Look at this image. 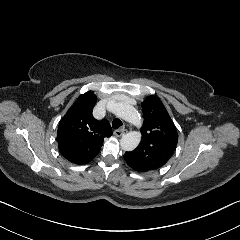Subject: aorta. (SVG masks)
Returning a JSON list of instances; mask_svg holds the SVG:
<instances>
[{"mask_svg":"<svg viewBox=\"0 0 240 240\" xmlns=\"http://www.w3.org/2000/svg\"><path fill=\"white\" fill-rule=\"evenodd\" d=\"M107 110L135 126L141 124L138 111L129 104L123 102H109L107 104ZM140 140L141 133L138 131H131L122 136L120 139V146L124 151H133L139 145Z\"/></svg>","mask_w":240,"mask_h":240,"instance_id":"obj_1","label":"aorta"}]
</instances>
